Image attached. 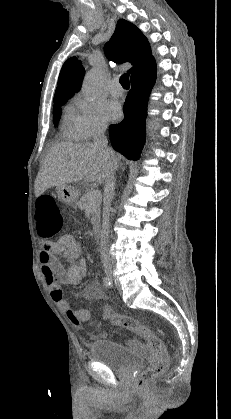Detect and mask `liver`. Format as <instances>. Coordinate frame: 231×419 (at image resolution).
I'll return each instance as SVG.
<instances>
[{"label":"liver","mask_w":231,"mask_h":419,"mask_svg":"<svg viewBox=\"0 0 231 419\" xmlns=\"http://www.w3.org/2000/svg\"><path fill=\"white\" fill-rule=\"evenodd\" d=\"M122 156L114 153L118 164ZM112 162L92 143L61 142L54 145L46 155L35 180L34 193L42 195L51 187L73 182L103 184Z\"/></svg>","instance_id":"liver-1"}]
</instances>
